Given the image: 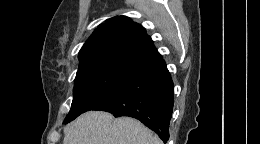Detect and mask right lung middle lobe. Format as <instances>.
Masks as SVG:
<instances>
[{"label":"right lung middle lobe","instance_id":"right-lung-middle-lobe-1","mask_svg":"<svg viewBox=\"0 0 260 144\" xmlns=\"http://www.w3.org/2000/svg\"><path fill=\"white\" fill-rule=\"evenodd\" d=\"M137 71L113 67H90L79 70L75 78L74 97L64 123L97 105L120 90Z\"/></svg>","mask_w":260,"mask_h":144}]
</instances>
